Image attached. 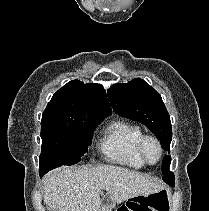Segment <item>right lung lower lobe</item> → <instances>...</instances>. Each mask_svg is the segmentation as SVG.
Instances as JSON below:
<instances>
[{
	"label": "right lung lower lobe",
	"mask_w": 209,
	"mask_h": 211,
	"mask_svg": "<svg viewBox=\"0 0 209 211\" xmlns=\"http://www.w3.org/2000/svg\"><path fill=\"white\" fill-rule=\"evenodd\" d=\"M39 174H40V176H43L45 173H44V172L39 171Z\"/></svg>",
	"instance_id": "obj_1"
}]
</instances>
